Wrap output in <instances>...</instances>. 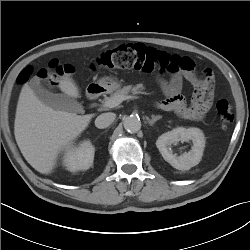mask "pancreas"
<instances>
[{
  "mask_svg": "<svg viewBox=\"0 0 250 250\" xmlns=\"http://www.w3.org/2000/svg\"><path fill=\"white\" fill-rule=\"evenodd\" d=\"M143 90H144L143 84H137L136 86L132 85L124 86L123 88L116 90L113 94L110 95L109 98L105 99V101L120 96H127L130 92L134 95L142 94Z\"/></svg>",
  "mask_w": 250,
  "mask_h": 250,
  "instance_id": "pancreas-1",
  "label": "pancreas"
}]
</instances>
